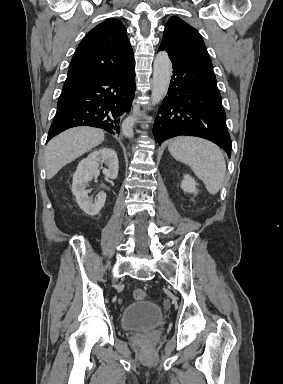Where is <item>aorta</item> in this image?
Here are the masks:
<instances>
[{
	"instance_id": "obj_1",
	"label": "aorta",
	"mask_w": 283,
	"mask_h": 384,
	"mask_svg": "<svg viewBox=\"0 0 283 384\" xmlns=\"http://www.w3.org/2000/svg\"><path fill=\"white\" fill-rule=\"evenodd\" d=\"M172 75V63L165 51H160L156 55L153 65V83L151 93V104H158L167 94ZM136 116H129L122 122V133L131 138L134 136L133 127Z\"/></svg>"
}]
</instances>
